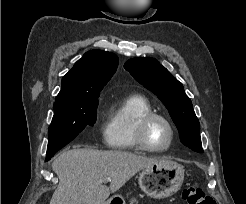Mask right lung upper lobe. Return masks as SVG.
Returning <instances> with one entry per match:
<instances>
[{
	"instance_id": "cb5924a9",
	"label": "right lung upper lobe",
	"mask_w": 246,
	"mask_h": 204,
	"mask_svg": "<svg viewBox=\"0 0 246 204\" xmlns=\"http://www.w3.org/2000/svg\"><path fill=\"white\" fill-rule=\"evenodd\" d=\"M118 57L112 52L91 50L76 62L62 78L61 91L55 102H65L99 95L116 72Z\"/></svg>"
}]
</instances>
